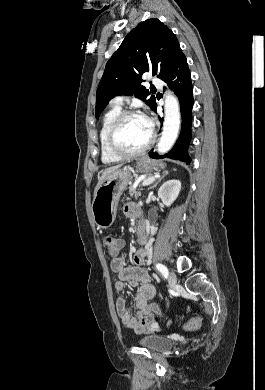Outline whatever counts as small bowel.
<instances>
[{
    "label": "small bowel",
    "mask_w": 265,
    "mask_h": 390,
    "mask_svg": "<svg viewBox=\"0 0 265 390\" xmlns=\"http://www.w3.org/2000/svg\"><path fill=\"white\" fill-rule=\"evenodd\" d=\"M124 213L131 219H136L142 215L141 208L135 203H128L124 207ZM146 232L143 231L139 237L140 243H145ZM117 254L110 262L111 270L118 275V280L114 284L116 292L122 293L125 289V282L136 287L137 292L134 300L136 315H132L126 307L125 299L120 296L116 300L117 315L126 327L138 333H148L157 331L159 323L149 301L155 296L156 290L151 283L148 272L142 265L148 259V251L145 248L139 249L134 255V265L125 266V260L119 251L124 247L122 239H116ZM170 323V322H169Z\"/></svg>",
    "instance_id": "obj_1"
}]
</instances>
